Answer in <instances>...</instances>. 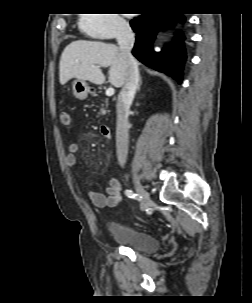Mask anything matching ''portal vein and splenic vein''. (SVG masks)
<instances>
[{
	"instance_id": "portal-vein-and-splenic-vein-1",
	"label": "portal vein and splenic vein",
	"mask_w": 252,
	"mask_h": 303,
	"mask_svg": "<svg viewBox=\"0 0 252 303\" xmlns=\"http://www.w3.org/2000/svg\"><path fill=\"white\" fill-rule=\"evenodd\" d=\"M114 93H115L114 88H108V89L106 90V95L109 96V97H110V96H113Z\"/></svg>"
}]
</instances>
